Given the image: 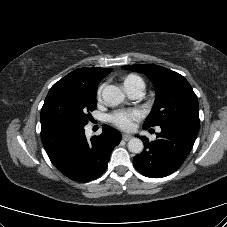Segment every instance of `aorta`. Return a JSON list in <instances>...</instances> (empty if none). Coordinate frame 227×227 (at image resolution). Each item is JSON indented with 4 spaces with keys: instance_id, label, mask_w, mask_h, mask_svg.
Wrapping results in <instances>:
<instances>
[{
    "instance_id": "762f6f07",
    "label": "aorta",
    "mask_w": 227,
    "mask_h": 227,
    "mask_svg": "<svg viewBox=\"0 0 227 227\" xmlns=\"http://www.w3.org/2000/svg\"><path fill=\"white\" fill-rule=\"evenodd\" d=\"M102 97L107 105L116 106L123 102L125 95L117 86L108 85L103 89ZM143 148V142L139 138H132L128 142V149L132 153L139 154L143 151Z\"/></svg>"
}]
</instances>
